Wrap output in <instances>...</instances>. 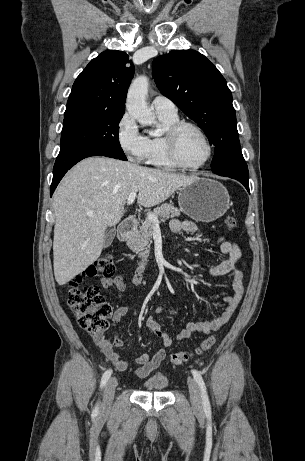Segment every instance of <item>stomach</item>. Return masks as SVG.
I'll return each instance as SVG.
<instances>
[{"instance_id": "0dacf381", "label": "stomach", "mask_w": 305, "mask_h": 461, "mask_svg": "<svg viewBox=\"0 0 305 461\" xmlns=\"http://www.w3.org/2000/svg\"><path fill=\"white\" fill-rule=\"evenodd\" d=\"M178 202L181 211L193 220L212 222L226 213L230 196L220 182L196 177L179 189Z\"/></svg>"}]
</instances>
